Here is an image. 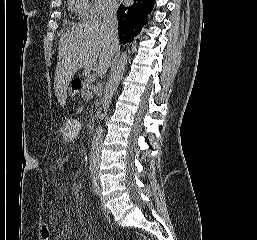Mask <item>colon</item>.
I'll list each match as a JSON object with an SVG mask.
<instances>
[{
    "mask_svg": "<svg viewBox=\"0 0 257 240\" xmlns=\"http://www.w3.org/2000/svg\"><path fill=\"white\" fill-rule=\"evenodd\" d=\"M81 82L75 78L72 80L69 87V94L71 97H76L80 89ZM39 236L41 240H50V229L47 223H42L39 229Z\"/></svg>",
    "mask_w": 257,
    "mask_h": 240,
    "instance_id": "5ec220e1",
    "label": "colon"
}]
</instances>
